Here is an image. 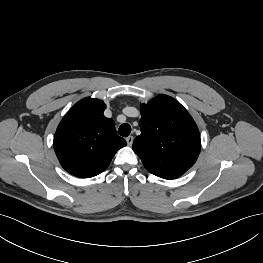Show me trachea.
Segmentation results:
<instances>
[{
  "label": "trachea",
  "mask_w": 263,
  "mask_h": 263,
  "mask_svg": "<svg viewBox=\"0 0 263 263\" xmlns=\"http://www.w3.org/2000/svg\"><path fill=\"white\" fill-rule=\"evenodd\" d=\"M131 133V126L127 123L122 124L118 129V134L127 137Z\"/></svg>",
  "instance_id": "3493384b"
}]
</instances>
